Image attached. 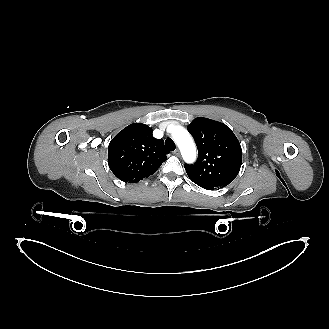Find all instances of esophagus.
Wrapping results in <instances>:
<instances>
[{
	"instance_id": "obj_1",
	"label": "esophagus",
	"mask_w": 329,
	"mask_h": 329,
	"mask_svg": "<svg viewBox=\"0 0 329 329\" xmlns=\"http://www.w3.org/2000/svg\"><path fill=\"white\" fill-rule=\"evenodd\" d=\"M174 155L176 156H180V151L178 149H176L174 152H173Z\"/></svg>"
}]
</instances>
